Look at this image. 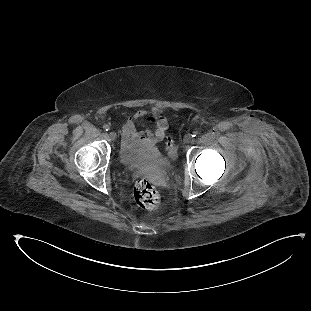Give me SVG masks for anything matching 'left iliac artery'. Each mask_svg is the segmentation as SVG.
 <instances>
[{"instance_id":"left-iliac-artery-1","label":"left iliac artery","mask_w":311,"mask_h":311,"mask_svg":"<svg viewBox=\"0 0 311 311\" xmlns=\"http://www.w3.org/2000/svg\"><path fill=\"white\" fill-rule=\"evenodd\" d=\"M198 135V131H193L192 132V137H196Z\"/></svg>"}]
</instances>
